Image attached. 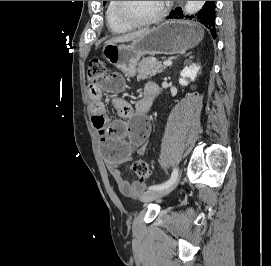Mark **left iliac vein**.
Listing matches in <instances>:
<instances>
[{"label":"left iliac vein","mask_w":271,"mask_h":266,"mask_svg":"<svg viewBox=\"0 0 271 266\" xmlns=\"http://www.w3.org/2000/svg\"><path fill=\"white\" fill-rule=\"evenodd\" d=\"M176 170H177V169H176ZM177 171H178V170H177ZM179 178H180V174L178 175L176 181H175L172 185H170V186H168V187H166V188H162V189L149 190V191L143 193L140 199H141L143 202H151V201H153V200H156V199H159V198H162V197L168 195V194L171 193V192L175 189V187L177 186V183H178V181H179Z\"/></svg>","instance_id":"1"}]
</instances>
